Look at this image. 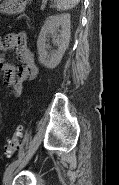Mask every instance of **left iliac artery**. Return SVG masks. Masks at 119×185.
<instances>
[{
  "label": "left iliac artery",
  "instance_id": "obj_1",
  "mask_svg": "<svg viewBox=\"0 0 119 185\" xmlns=\"http://www.w3.org/2000/svg\"><path fill=\"white\" fill-rule=\"evenodd\" d=\"M21 162V158H19L18 160L12 162L5 170L4 173V180L7 177V175Z\"/></svg>",
  "mask_w": 119,
  "mask_h": 185
}]
</instances>
